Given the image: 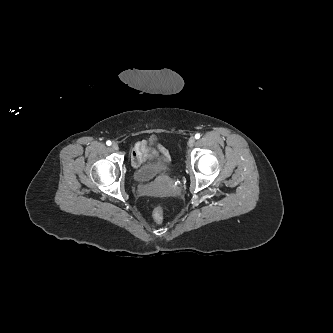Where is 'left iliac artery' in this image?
I'll list each match as a JSON object with an SVG mask.
<instances>
[{
  "instance_id": "44dca946",
  "label": "left iliac artery",
  "mask_w": 333,
  "mask_h": 333,
  "mask_svg": "<svg viewBox=\"0 0 333 333\" xmlns=\"http://www.w3.org/2000/svg\"><path fill=\"white\" fill-rule=\"evenodd\" d=\"M195 138L199 139L200 138V134L199 133L195 134Z\"/></svg>"
}]
</instances>
